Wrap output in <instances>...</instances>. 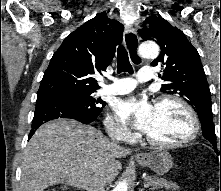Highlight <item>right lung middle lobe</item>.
<instances>
[{"label":"right lung middle lobe","mask_w":221,"mask_h":191,"mask_svg":"<svg viewBox=\"0 0 221 191\" xmlns=\"http://www.w3.org/2000/svg\"><path fill=\"white\" fill-rule=\"evenodd\" d=\"M93 93L67 92L59 96L75 106L77 111L86 116H98L105 105L101 99H94Z\"/></svg>","instance_id":"dd1d6c3e"}]
</instances>
